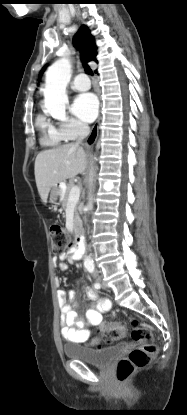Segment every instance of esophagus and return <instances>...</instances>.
I'll return each mask as SVG.
<instances>
[{"mask_svg":"<svg viewBox=\"0 0 187 415\" xmlns=\"http://www.w3.org/2000/svg\"><path fill=\"white\" fill-rule=\"evenodd\" d=\"M100 120H101V115L99 114L97 121L95 122V124L93 125L91 132L87 138V144L90 145L92 143H94L98 137V128H99V124H100Z\"/></svg>","mask_w":187,"mask_h":415,"instance_id":"esophagus-1","label":"esophagus"}]
</instances>
